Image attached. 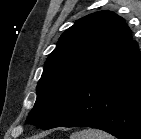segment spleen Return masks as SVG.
Here are the masks:
<instances>
[{
  "mask_svg": "<svg viewBox=\"0 0 141 139\" xmlns=\"http://www.w3.org/2000/svg\"><path fill=\"white\" fill-rule=\"evenodd\" d=\"M70 139H114V137L101 130L85 129L72 133Z\"/></svg>",
  "mask_w": 141,
  "mask_h": 139,
  "instance_id": "obj_1",
  "label": "spleen"
}]
</instances>
